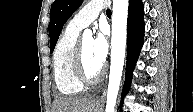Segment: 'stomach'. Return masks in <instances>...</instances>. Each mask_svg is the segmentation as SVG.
Segmentation results:
<instances>
[{
  "instance_id": "stomach-1",
  "label": "stomach",
  "mask_w": 193,
  "mask_h": 112,
  "mask_svg": "<svg viewBox=\"0 0 193 112\" xmlns=\"http://www.w3.org/2000/svg\"><path fill=\"white\" fill-rule=\"evenodd\" d=\"M92 108H93V112H99L100 105L97 102L93 101Z\"/></svg>"
}]
</instances>
